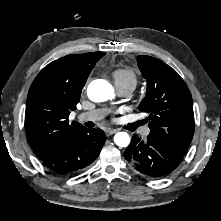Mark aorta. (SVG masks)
Listing matches in <instances>:
<instances>
[{
  "label": "aorta",
  "instance_id": "aorta-1",
  "mask_svg": "<svg viewBox=\"0 0 221 221\" xmlns=\"http://www.w3.org/2000/svg\"><path fill=\"white\" fill-rule=\"evenodd\" d=\"M87 94L93 102H104L113 97L114 89L109 82L97 79L88 85ZM114 142L119 147H127L130 144V137L126 132H118L114 136Z\"/></svg>",
  "mask_w": 221,
  "mask_h": 221
}]
</instances>
